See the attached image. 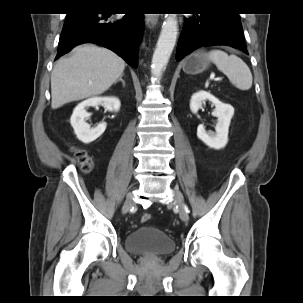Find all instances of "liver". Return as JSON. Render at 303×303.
Wrapping results in <instances>:
<instances>
[{"label":"liver","instance_id":"6515ba94","mask_svg":"<svg viewBox=\"0 0 303 303\" xmlns=\"http://www.w3.org/2000/svg\"><path fill=\"white\" fill-rule=\"evenodd\" d=\"M125 62L112 51L96 45H82L69 58H61L51 74V107L97 96L122 75Z\"/></svg>","mask_w":303,"mask_h":303}]
</instances>
